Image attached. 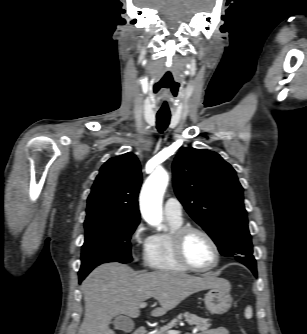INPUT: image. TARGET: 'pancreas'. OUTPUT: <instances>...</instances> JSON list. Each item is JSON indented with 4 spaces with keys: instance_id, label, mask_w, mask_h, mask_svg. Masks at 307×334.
Here are the masks:
<instances>
[{
    "instance_id": "1",
    "label": "pancreas",
    "mask_w": 307,
    "mask_h": 334,
    "mask_svg": "<svg viewBox=\"0 0 307 334\" xmlns=\"http://www.w3.org/2000/svg\"><path fill=\"white\" fill-rule=\"evenodd\" d=\"M183 318L189 325H194L198 331H206L211 326L210 319L198 317L197 315L185 312L183 314H179L177 318L170 321L167 325H164L163 327H160L154 331L153 334H166V332L172 327L177 326Z\"/></svg>"
}]
</instances>
